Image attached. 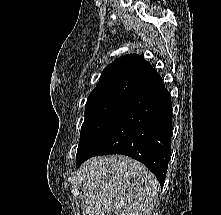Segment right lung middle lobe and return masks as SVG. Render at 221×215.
I'll return each instance as SVG.
<instances>
[{"mask_svg": "<svg viewBox=\"0 0 221 215\" xmlns=\"http://www.w3.org/2000/svg\"><path fill=\"white\" fill-rule=\"evenodd\" d=\"M132 100L106 99L86 104L76 158L87 155Z\"/></svg>", "mask_w": 221, "mask_h": 215, "instance_id": "obj_1", "label": "right lung middle lobe"}]
</instances>
